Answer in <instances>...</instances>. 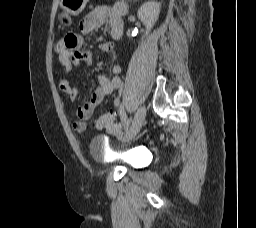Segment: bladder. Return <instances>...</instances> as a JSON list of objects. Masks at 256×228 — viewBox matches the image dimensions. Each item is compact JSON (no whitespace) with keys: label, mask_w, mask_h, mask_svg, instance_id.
Instances as JSON below:
<instances>
[{"label":"bladder","mask_w":256,"mask_h":228,"mask_svg":"<svg viewBox=\"0 0 256 228\" xmlns=\"http://www.w3.org/2000/svg\"><path fill=\"white\" fill-rule=\"evenodd\" d=\"M90 153L95 158L118 159L129 168H138L144 161V153L135 148L126 151H116L102 136H95L89 145Z\"/></svg>","instance_id":"bladder-1"}]
</instances>
